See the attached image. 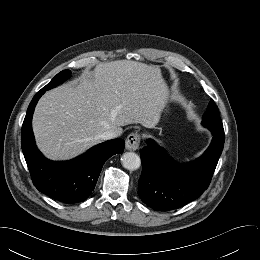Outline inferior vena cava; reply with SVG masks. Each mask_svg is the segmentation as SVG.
<instances>
[{"label":"inferior vena cava","instance_id":"1","mask_svg":"<svg viewBox=\"0 0 260 260\" xmlns=\"http://www.w3.org/2000/svg\"><path fill=\"white\" fill-rule=\"evenodd\" d=\"M118 137V134L113 130H107L99 135L101 140H109Z\"/></svg>","mask_w":260,"mask_h":260}]
</instances>
